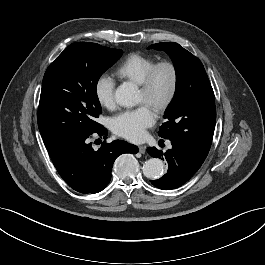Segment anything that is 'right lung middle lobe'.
I'll return each mask as SVG.
<instances>
[{
  "instance_id": "right-lung-middle-lobe-1",
  "label": "right lung middle lobe",
  "mask_w": 265,
  "mask_h": 265,
  "mask_svg": "<svg viewBox=\"0 0 265 265\" xmlns=\"http://www.w3.org/2000/svg\"><path fill=\"white\" fill-rule=\"evenodd\" d=\"M122 50L96 43L69 45L45 72L38 109V127L46 148L92 133L102 109L96 87L100 76Z\"/></svg>"
}]
</instances>
